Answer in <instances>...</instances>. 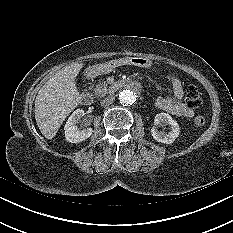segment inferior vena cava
<instances>
[{
    "label": "inferior vena cava",
    "mask_w": 233,
    "mask_h": 233,
    "mask_svg": "<svg viewBox=\"0 0 233 233\" xmlns=\"http://www.w3.org/2000/svg\"><path fill=\"white\" fill-rule=\"evenodd\" d=\"M115 97L113 95L106 97L105 99L101 100L100 104L102 106H109L113 103Z\"/></svg>",
    "instance_id": "obj_1"
}]
</instances>
